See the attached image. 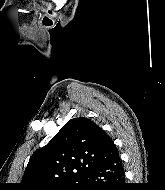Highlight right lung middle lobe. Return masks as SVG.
<instances>
[{
  "mask_svg": "<svg viewBox=\"0 0 165 190\" xmlns=\"http://www.w3.org/2000/svg\"><path fill=\"white\" fill-rule=\"evenodd\" d=\"M81 183L78 184H70L65 187L56 188L55 190H79Z\"/></svg>",
  "mask_w": 165,
  "mask_h": 190,
  "instance_id": "1",
  "label": "right lung middle lobe"
}]
</instances>
